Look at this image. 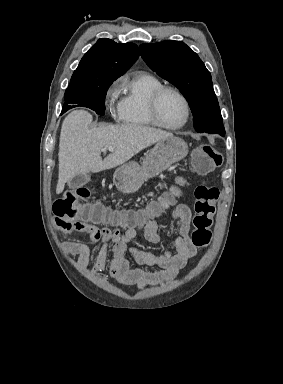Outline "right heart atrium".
Instances as JSON below:
<instances>
[{"label":"right heart atrium","mask_w":283,"mask_h":384,"mask_svg":"<svg viewBox=\"0 0 283 384\" xmlns=\"http://www.w3.org/2000/svg\"><path fill=\"white\" fill-rule=\"evenodd\" d=\"M120 88V80L117 79L112 81L105 90L106 109L113 119L120 118L119 103L117 102Z\"/></svg>","instance_id":"obj_1"}]
</instances>
